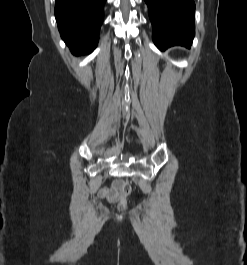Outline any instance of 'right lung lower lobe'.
Listing matches in <instances>:
<instances>
[{
  "label": "right lung lower lobe",
  "mask_w": 247,
  "mask_h": 265,
  "mask_svg": "<svg viewBox=\"0 0 247 265\" xmlns=\"http://www.w3.org/2000/svg\"><path fill=\"white\" fill-rule=\"evenodd\" d=\"M106 0H56L55 17L73 54L91 53L98 42Z\"/></svg>",
  "instance_id": "right-lung-lower-lobe-1"
}]
</instances>
